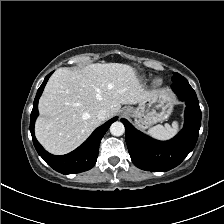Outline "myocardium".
<instances>
[{
  "label": "myocardium",
  "instance_id": "1",
  "mask_svg": "<svg viewBox=\"0 0 224 224\" xmlns=\"http://www.w3.org/2000/svg\"><path fill=\"white\" fill-rule=\"evenodd\" d=\"M162 83H163V80H162L161 78H156V79L153 80V85H154L155 87H159V86H161Z\"/></svg>",
  "mask_w": 224,
  "mask_h": 224
}]
</instances>
